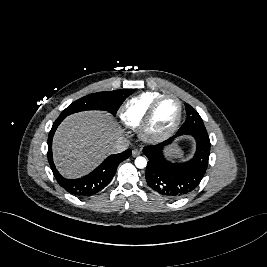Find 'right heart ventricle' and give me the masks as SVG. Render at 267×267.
Returning <instances> with one entry per match:
<instances>
[{"mask_svg":"<svg viewBox=\"0 0 267 267\" xmlns=\"http://www.w3.org/2000/svg\"><path fill=\"white\" fill-rule=\"evenodd\" d=\"M161 95L160 92L148 91L132 97L124 104L121 119L127 126L138 128L150 104Z\"/></svg>","mask_w":267,"mask_h":267,"instance_id":"obj_1","label":"right heart ventricle"}]
</instances>
